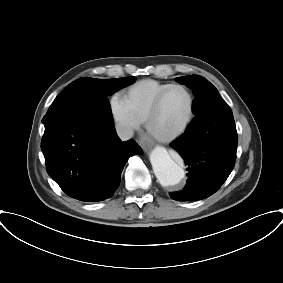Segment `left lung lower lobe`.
I'll list each match as a JSON object with an SVG mask.
<instances>
[{
    "mask_svg": "<svg viewBox=\"0 0 283 283\" xmlns=\"http://www.w3.org/2000/svg\"><path fill=\"white\" fill-rule=\"evenodd\" d=\"M228 104L214 98L205 109L196 110L184 135L171 143L187 165V184L182 191L170 193L177 201L204 199L215 193L235 165L237 142L211 139L216 127L224 128ZM214 123V124H213Z\"/></svg>",
    "mask_w": 283,
    "mask_h": 283,
    "instance_id": "left-lung-lower-lobe-1",
    "label": "left lung lower lobe"
}]
</instances>
